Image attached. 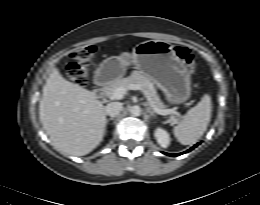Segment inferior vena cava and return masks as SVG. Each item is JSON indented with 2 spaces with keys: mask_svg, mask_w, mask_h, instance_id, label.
<instances>
[{
  "mask_svg": "<svg viewBox=\"0 0 260 205\" xmlns=\"http://www.w3.org/2000/svg\"><path fill=\"white\" fill-rule=\"evenodd\" d=\"M122 110V104L120 102H111L105 107V113L111 117L117 116Z\"/></svg>",
  "mask_w": 260,
  "mask_h": 205,
  "instance_id": "inferior-vena-cava-1",
  "label": "inferior vena cava"
}]
</instances>
